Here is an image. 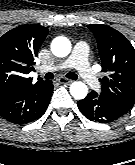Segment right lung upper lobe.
<instances>
[{"label": "right lung upper lobe", "mask_w": 135, "mask_h": 165, "mask_svg": "<svg viewBox=\"0 0 135 165\" xmlns=\"http://www.w3.org/2000/svg\"><path fill=\"white\" fill-rule=\"evenodd\" d=\"M48 34L47 27L33 24L16 27L0 37V91L17 86L46 83L41 78L33 84L28 74Z\"/></svg>", "instance_id": "obj_1"}]
</instances>
